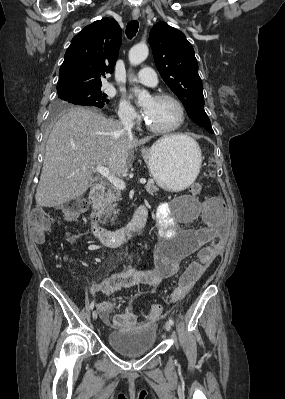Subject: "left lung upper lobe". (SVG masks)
Here are the masks:
<instances>
[{
    "label": "left lung upper lobe",
    "instance_id": "obj_1",
    "mask_svg": "<svg viewBox=\"0 0 285 399\" xmlns=\"http://www.w3.org/2000/svg\"><path fill=\"white\" fill-rule=\"evenodd\" d=\"M149 44L162 79L183 102L189 117L214 133L204 110L202 81L194 49L184 33L160 21L150 31Z\"/></svg>",
    "mask_w": 285,
    "mask_h": 399
}]
</instances>
